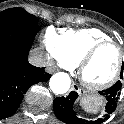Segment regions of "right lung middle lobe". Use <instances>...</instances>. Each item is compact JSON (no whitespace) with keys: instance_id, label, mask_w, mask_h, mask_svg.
<instances>
[{"instance_id":"right-lung-middle-lobe-1","label":"right lung middle lobe","mask_w":124,"mask_h":124,"mask_svg":"<svg viewBox=\"0 0 124 124\" xmlns=\"http://www.w3.org/2000/svg\"><path fill=\"white\" fill-rule=\"evenodd\" d=\"M36 16L23 8H9L0 12V28H17L37 25Z\"/></svg>"}]
</instances>
